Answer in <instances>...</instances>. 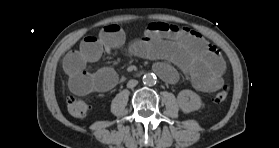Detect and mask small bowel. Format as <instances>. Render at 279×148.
Here are the masks:
<instances>
[{"mask_svg": "<svg viewBox=\"0 0 279 148\" xmlns=\"http://www.w3.org/2000/svg\"><path fill=\"white\" fill-rule=\"evenodd\" d=\"M125 33L116 24L105 26L97 36L85 37L77 49L63 58L62 67L70 90L78 95L106 92L118 82V75L108 67L96 73L86 71L88 64L100 59L104 52L121 47ZM129 52L137 57L156 60L154 71L166 82L175 83L177 66L198 90L214 92L223 85L225 62L217 50L198 32L164 22L149 24L143 35L129 44Z\"/></svg>", "mask_w": 279, "mask_h": 148, "instance_id": "obj_1", "label": "small bowel"}]
</instances>
